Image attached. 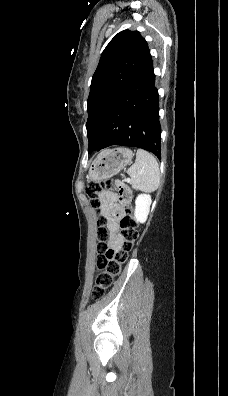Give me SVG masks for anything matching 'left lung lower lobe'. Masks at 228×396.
<instances>
[{"label":"left lung lower lobe","instance_id":"0a47b994","mask_svg":"<svg viewBox=\"0 0 228 396\" xmlns=\"http://www.w3.org/2000/svg\"><path fill=\"white\" fill-rule=\"evenodd\" d=\"M153 70L151 59L139 77L124 92L118 101L124 108L101 130L98 150L111 145L133 146L148 150L161 158L159 95ZM125 100L127 102L123 105Z\"/></svg>","mask_w":228,"mask_h":396}]
</instances>
